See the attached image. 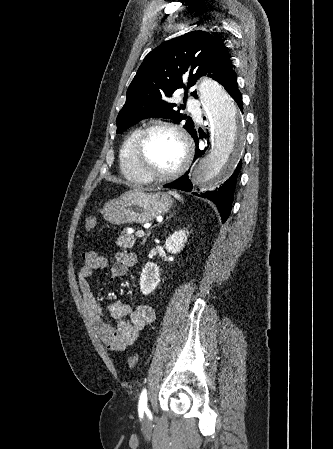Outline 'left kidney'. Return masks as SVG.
<instances>
[{
	"mask_svg": "<svg viewBox=\"0 0 333 449\" xmlns=\"http://www.w3.org/2000/svg\"><path fill=\"white\" fill-rule=\"evenodd\" d=\"M189 232L180 230L174 232L165 242V248L168 252L176 254L180 252L187 242ZM160 283L159 268L156 264L148 262L142 270L140 276V289L144 295L153 292Z\"/></svg>",
	"mask_w": 333,
	"mask_h": 449,
	"instance_id": "obj_1",
	"label": "left kidney"
}]
</instances>
